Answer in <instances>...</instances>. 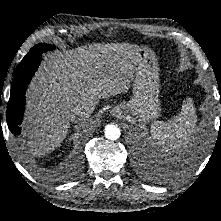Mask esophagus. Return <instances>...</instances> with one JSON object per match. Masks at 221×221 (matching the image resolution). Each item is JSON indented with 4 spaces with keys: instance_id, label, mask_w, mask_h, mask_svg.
<instances>
[{
    "instance_id": "1",
    "label": "esophagus",
    "mask_w": 221,
    "mask_h": 221,
    "mask_svg": "<svg viewBox=\"0 0 221 221\" xmlns=\"http://www.w3.org/2000/svg\"><path fill=\"white\" fill-rule=\"evenodd\" d=\"M112 115H114V116H119V115H120V112L117 111V110H113V111H112Z\"/></svg>"
}]
</instances>
